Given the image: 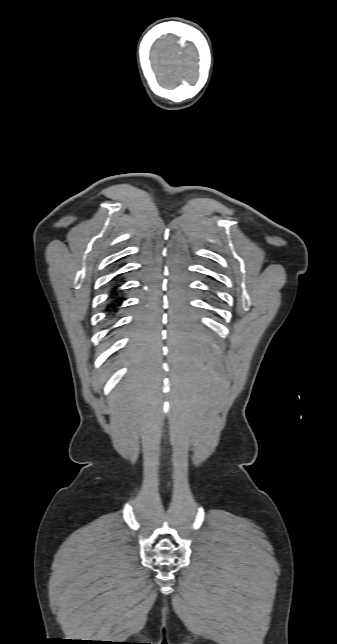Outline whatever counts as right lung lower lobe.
I'll return each instance as SVG.
<instances>
[{"instance_id":"right-lung-lower-lobe-1","label":"right lung lower lobe","mask_w":337,"mask_h":644,"mask_svg":"<svg viewBox=\"0 0 337 644\" xmlns=\"http://www.w3.org/2000/svg\"><path fill=\"white\" fill-rule=\"evenodd\" d=\"M118 277L119 276H117L115 278H118ZM119 286L120 285H116V286L112 287L111 290H110V296L108 298L110 301L107 304L106 309H105V311L108 312V315L110 317L115 316V313L118 311V307L121 305L122 300H123V298L119 296L120 291L117 290V288Z\"/></svg>"}]
</instances>
